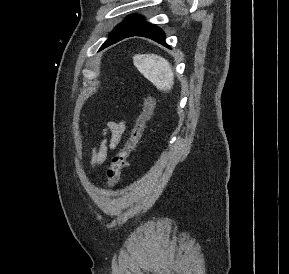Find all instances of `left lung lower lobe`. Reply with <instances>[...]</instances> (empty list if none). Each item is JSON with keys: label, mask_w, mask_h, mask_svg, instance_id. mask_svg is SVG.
<instances>
[{"label": "left lung lower lobe", "mask_w": 289, "mask_h": 274, "mask_svg": "<svg viewBox=\"0 0 289 274\" xmlns=\"http://www.w3.org/2000/svg\"><path fill=\"white\" fill-rule=\"evenodd\" d=\"M132 36H144L147 38H150L166 47H169L166 43H165V34L164 32L158 28L157 26L149 23V22H143L142 24H140L136 29H134L133 31H131L130 33L126 34L125 36L121 37L118 40L112 41L111 43H108L104 46H102L100 48V50L114 44L117 43L118 41H121L125 38L128 37H132Z\"/></svg>", "instance_id": "left-lung-lower-lobe-1"}]
</instances>
